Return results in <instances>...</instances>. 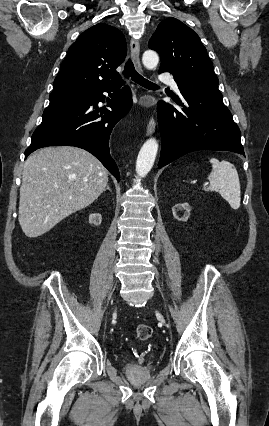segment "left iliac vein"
Returning a JSON list of instances; mask_svg holds the SVG:
<instances>
[{
    "instance_id": "4c4485c4",
    "label": "left iliac vein",
    "mask_w": 269,
    "mask_h": 426,
    "mask_svg": "<svg viewBox=\"0 0 269 426\" xmlns=\"http://www.w3.org/2000/svg\"><path fill=\"white\" fill-rule=\"evenodd\" d=\"M157 315H158L159 319L161 320V322L165 323V319L162 316V314L160 312H158Z\"/></svg>"
}]
</instances>
